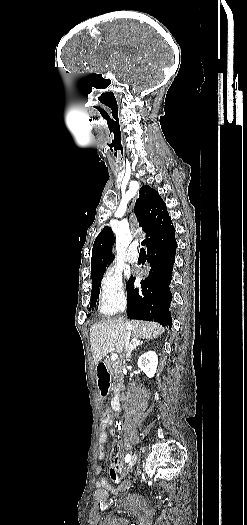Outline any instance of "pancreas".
Segmentation results:
<instances>
[{
	"label": "pancreas",
	"mask_w": 247,
	"mask_h": 525,
	"mask_svg": "<svg viewBox=\"0 0 247 525\" xmlns=\"http://www.w3.org/2000/svg\"><path fill=\"white\" fill-rule=\"evenodd\" d=\"M105 363H106L107 369H109V371H110L114 381H116V383H118V381H122L123 375H121V369H120V365H118V363H119L118 359H117V361H113V363H110V357H107Z\"/></svg>",
	"instance_id": "obj_1"
}]
</instances>
